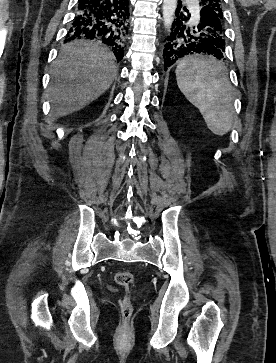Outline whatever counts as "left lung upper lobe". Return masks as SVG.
<instances>
[{
    "label": "left lung upper lobe",
    "instance_id": "5c2ea615",
    "mask_svg": "<svg viewBox=\"0 0 276 363\" xmlns=\"http://www.w3.org/2000/svg\"><path fill=\"white\" fill-rule=\"evenodd\" d=\"M200 5L202 7H209L210 9H212L216 16L219 18V21L222 23L223 26V33L220 36L223 37L225 41L224 16L221 7V0H200Z\"/></svg>",
    "mask_w": 276,
    "mask_h": 363
}]
</instances>
